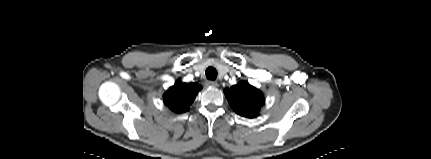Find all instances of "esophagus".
<instances>
[{"instance_id": "esophagus-1", "label": "esophagus", "mask_w": 431, "mask_h": 159, "mask_svg": "<svg viewBox=\"0 0 431 159\" xmlns=\"http://www.w3.org/2000/svg\"><path fill=\"white\" fill-rule=\"evenodd\" d=\"M206 85H207V86H210V87H217V86H218V83H217L216 81H212V80H210V81H207V82H206Z\"/></svg>"}]
</instances>
